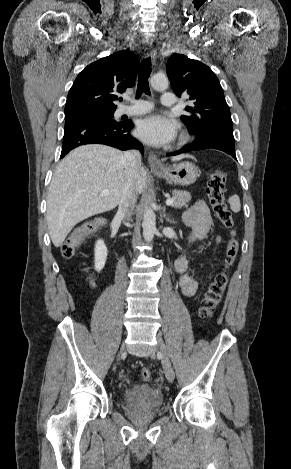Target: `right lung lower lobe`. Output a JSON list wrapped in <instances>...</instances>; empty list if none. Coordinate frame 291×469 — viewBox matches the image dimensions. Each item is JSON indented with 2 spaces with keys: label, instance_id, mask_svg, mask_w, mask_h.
<instances>
[{
  "label": "right lung lower lobe",
  "instance_id": "98d812e1",
  "mask_svg": "<svg viewBox=\"0 0 291 469\" xmlns=\"http://www.w3.org/2000/svg\"><path fill=\"white\" fill-rule=\"evenodd\" d=\"M131 121L117 122L100 116H78L65 120L60 158L84 144H105L120 150L139 149L143 146L130 135Z\"/></svg>",
  "mask_w": 291,
  "mask_h": 469
}]
</instances>
